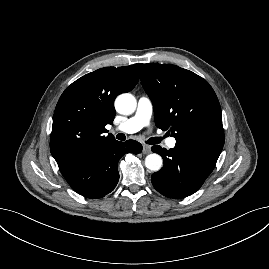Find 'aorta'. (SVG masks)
I'll return each instance as SVG.
<instances>
[{
  "mask_svg": "<svg viewBox=\"0 0 269 269\" xmlns=\"http://www.w3.org/2000/svg\"><path fill=\"white\" fill-rule=\"evenodd\" d=\"M137 106L136 99L129 93L119 95L115 100L116 111L123 115L132 114ZM163 165L162 157L156 153H152L146 156L145 166L151 171H159Z\"/></svg>",
  "mask_w": 269,
  "mask_h": 269,
  "instance_id": "762f6f07",
  "label": "aorta"
}]
</instances>
